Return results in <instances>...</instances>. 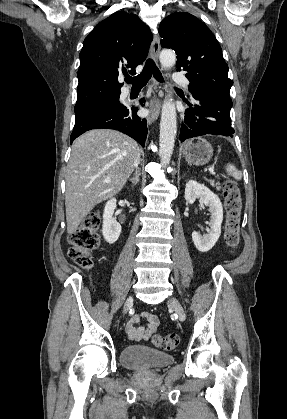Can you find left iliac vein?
Returning <instances> with one entry per match:
<instances>
[{
	"instance_id": "left-iliac-vein-1",
	"label": "left iliac vein",
	"mask_w": 287,
	"mask_h": 419,
	"mask_svg": "<svg viewBox=\"0 0 287 419\" xmlns=\"http://www.w3.org/2000/svg\"><path fill=\"white\" fill-rule=\"evenodd\" d=\"M168 305L170 308H172L175 313L178 315L180 320L185 319V313L184 310L180 304V302L176 298H172L169 300Z\"/></svg>"
}]
</instances>
